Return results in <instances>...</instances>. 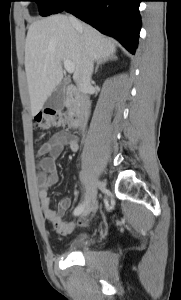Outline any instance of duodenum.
I'll return each instance as SVG.
<instances>
[{
	"label": "duodenum",
	"mask_w": 181,
	"mask_h": 300,
	"mask_svg": "<svg viewBox=\"0 0 181 300\" xmlns=\"http://www.w3.org/2000/svg\"><path fill=\"white\" fill-rule=\"evenodd\" d=\"M70 124L72 127H80L86 117L87 106L76 90L72 91L69 97Z\"/></svg>",
	"instance_id": "410a0bca"
}]
</instances>
